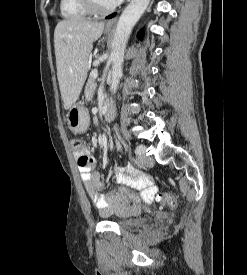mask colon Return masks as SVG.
Masks as SVG:
<instances>
[{
  "label": "colon",
  "mask_w": 247,
  "mask_h": 275,
  "mask_svg": "<svg viewBox=\"0 0 247 275\" xmlns=\"http://www.w3.org/2000/svg\"><path fill=\"white\" fill-rule=\"evenodd\" d=\"M71 146L73 150L80 155V159L82 161H86V156L84 155L85 147L82 141L79 139H73L71 141ZM118 193L132 203H137L139 200L138 195L132 190V188L120 186L118 189ZM157 201L161 202L171 209H174L177 207L178 197L175 194L164 192L163 194L158 196Z\"/></svg>",
  "instance_id": "obj_1"
}]
</instances>
